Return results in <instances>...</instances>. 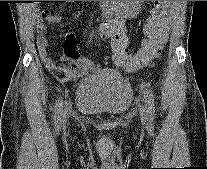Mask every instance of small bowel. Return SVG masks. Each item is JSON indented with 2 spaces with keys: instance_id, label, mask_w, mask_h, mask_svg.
I'll use <instances>...</instances> for the list:
<instances>
[{
  "instance_id": "c3829d8e",
  "label": "small bowel",
  "mask_w": 207,
  "mask_h": 169,
  "mask_svg": "<svg viewBox=\"0 0 207 169\" xmlns=\"http://www.w3.org/2000/svg\"><path fill=\"white\" fill-rule=\"evenodd\" d=\"M65 2L71 3L73 1ZM126 2L124 6H121L117 1H101L104 19L99 29L115 32L117 36L113 43L119 40H125L128 43L124 22L137 14L139 5L142 3V1ZM60 19L61 14L51 13L46 10H38L34 14L37 48L47 70L53 73L61 82H67L101 69L100 63L80 57L76 39L72 32H68L66 35L64 52L60 60L56 61L49 55V44L46 37L47 26L59 22Z\"/></svg>"
}]
</instances>
